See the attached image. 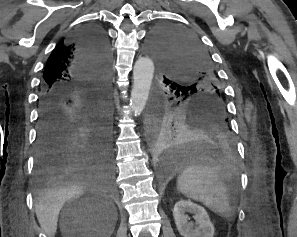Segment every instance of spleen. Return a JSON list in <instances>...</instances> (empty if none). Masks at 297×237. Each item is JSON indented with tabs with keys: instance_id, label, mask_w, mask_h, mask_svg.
Listing matches in <instances>:
<instances>
[{
	"instance_id": "1",
	"label": "spleen",
	"mask_w": 297,
	"mask_h": 237,
	"mask_svg": "<svg viewBox=\"0 0 297 237\" xmlns=\"http://www.w3.org/2000/svg\"><path fill=\"white\" fill-rule=\"evenodd\" d=\"M177 188L222 218L229 220L233 217L229 189L220 167H206L204 162L193 163L178 177Z\"/></svg>"
}]
</instances>
